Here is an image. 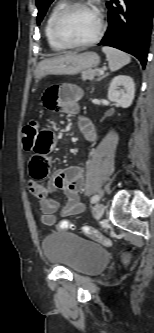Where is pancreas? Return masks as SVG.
I'll return each instance as SVG.
<instances>
[{"label": "pancreas", "mask_w": 154, "mask_h": 333, "mask_svg": "<svg viewBox=\"0 0 154 333\" xmlns=\"http://www.w3.org/2000/svg\"><path fill=\"white\" fill-rule=\"evenodd\" d=\"M99 71L98 69H91V70H85V71H82V79L85 80V79H94L95 76H97L99 74Z\"/></svg>", "instance_id": "1"}]
</instances>
